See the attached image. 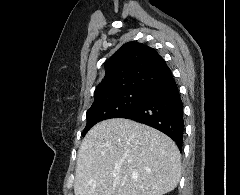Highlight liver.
<instances>
[{
    "label": "liver",
    "mask_w": 240,
    "mask_h": 195,
    "mask_svg": "<svg viewBox=\"0 0 240 195\" xmlns=\"http://www.w3.org/2000/svg\"><path fill=\"white\" fill-rule=\"evenodd\" d=\"M181 177L174 141L144 123L104 119L86 133L78 151L75 195H163Z\"/></svg>",
    "instance_id": "liver-1"
}]
</instances>
